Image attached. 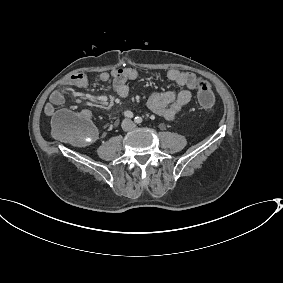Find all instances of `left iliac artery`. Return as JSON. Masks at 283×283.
<instances>
[{
	"label": "left iliac artery",
	"instance_id": "1",
	"mask_svg": "<svg viewBox=\"0 0 283 283\" xmlns=\"http://www.w3.org/2000/svg\"><path fill=\"white\" fill-rule=\"evenodd\" d=\"M134 121H135V123L140 124V123H142L143 120H142L141 117H135Z\"/></svg>",
	"mask_w": 283,
	"mask_h": 283
}]
</instances>
